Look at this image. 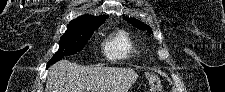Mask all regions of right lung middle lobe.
<instances>
[{
  "mask_svg": "<svg viewBox=\"0 0 225 92\" xmlns=\"http://www.w3.org/2000/svg\"><path fill=\"white\" fill-rule=\"evenodd\" d=\"M105 22H99L79 27L74 30H67L60 39L59 50L47 63V68L55 62L61 60L65 55H73L81 51L93 32Z\"/></svg>",
  "mask_w": 225,
  "mask_h": 92,
  "instance_id": "obj_1",
  "label": "right lung middle lobe"
}]
</instances>
